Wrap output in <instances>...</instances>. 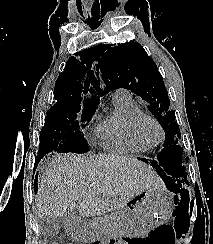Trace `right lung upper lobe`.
Wrapping results in <instances>:
<instances>
[{"label":"right lung upper lobe","mask_w":213,"mask_h":244,"mask_svg":"<svg viewBox=\"0 0 213 244\" xmlns=\"http://www.w3.org/2000/svg\"><path fill=\"white\" fill-rule=\"evenodd\" d=\"M93 60L80 62L74 56L70 57L57 79L54 89L56 103L53 107L80 105L96 109L102 93L92 70Z\"/></svg>","instance_id":"1"}]
</instances>
